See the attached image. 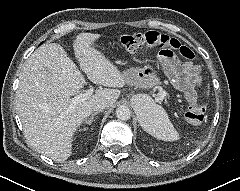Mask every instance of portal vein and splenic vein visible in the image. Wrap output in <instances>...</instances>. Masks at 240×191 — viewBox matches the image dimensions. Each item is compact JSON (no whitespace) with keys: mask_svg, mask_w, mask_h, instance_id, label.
Listing matches in <instances>:
<instances>
[{"mask_svg":"<svg viewBox=\"0 0 240 191\" xmlns=\"http://www.w3.org/2000/svg\"><path fill=\"white\" fill-rule=\"evenodd\" d=\"M92 94H93V88H90V89L86 90L85 93L79 94V95L75 96L74 98L70 99V108L71 109L74 108L75 105H77L80 102H83Z\"/></svg>","mask_w":240,"mask_h":191,"instance_id":"1","label":"portal vein and splenic vein"}]
</instances>
